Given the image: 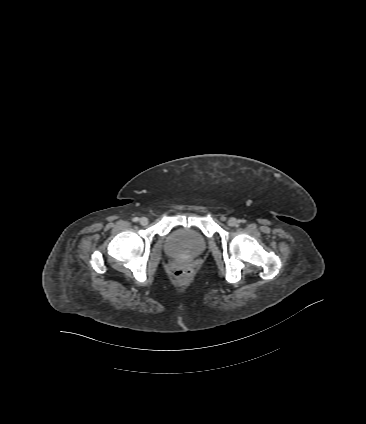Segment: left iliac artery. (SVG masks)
Wrapping results in <instances>:
<instances>
[{"label": "left iliac artery", "mask_w": 366, "mask_h": 424, "mask_svg": "<svg viewBox=\"0 0 366 424\" xmlns=\"http://www.w3.org/2000/svg\"><path fill=\"white\" fill-rule=\"evenodd\" d=\"M239 222L244 223L245 221L244 220H239Z\"/></svg>", "instance_id": "1"}]
</instances>
